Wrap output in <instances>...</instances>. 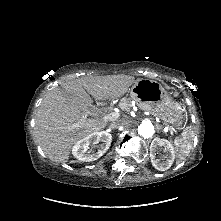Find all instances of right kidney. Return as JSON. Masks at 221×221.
Returning a JSON list of instances; mask_svg holds the SVG:
<instances>
[{"label":"right kidney","mask_w":221,"mask_h":221,"mask_svg":"<svg viewBox=\"0 0 221 221\" xmlns=\"http://www.w3.org/2000/svg\"><path fill=\"white\" fill-rule=\"evenodd\" d=\"M96 146V150L90 149V145ZM112 142V136L107 132L92 133L80 139L72 148V154L79 161L90 162L100 158L109 149Z\"/></svg>","instance_id":"ca27d5eb"}]
</instances>
